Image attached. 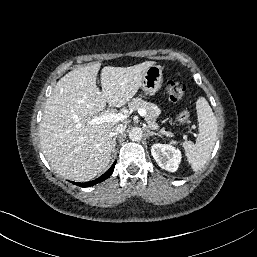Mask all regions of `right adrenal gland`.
Wrapping results in <instances>:
<instances>
[{"mask_svg": "<svg viewBox=\"0 0 257 257\" xmlns=\"http://www.w3.org/2000/svg\"><path fill=\"white\" fill-rule=\"evenodd\" d=\"M112 143H113V149H112V152H115V147H116V137H114V138H113Z\"/></svg>", "mask_w": 257, "mask_h": 257, "instance_id": "2a0ac1e0", "label": "right adrenal gland"}]
</instances>
